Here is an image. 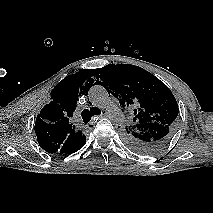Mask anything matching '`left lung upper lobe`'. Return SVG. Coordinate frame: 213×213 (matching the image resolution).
Masks as SVG:
<instances>
[{"mask_svg":"<svg viewBox=\"0 0 213 213\" xmlns=\"http://www.w3.org/2000/svg\"><path fill=\"white\" fill-rule=\"evenodd\" d=\"M96 72L98 84L120 105L134 108V115L121 131L125 143L145 154L164 148L176 130L179 112L171 90L150 72L131 64L112 62Z\"/></svg>","mask_w":213,"mask_h":213,"instance_id":"left-lung-upper-lobe-1","label":"left lung upper lobe"}]
</instances>
